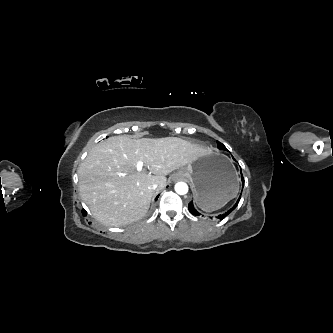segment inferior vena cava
Instances as JSON below:
<instances>
[{
	"instance_id": "obj_1",
	"label": "inferior vena cava",
	"mask_w": 333,
	"mask_h": 333,
	"mask_svg": "<svg viewBox=\"0 0 333 333\" xmlns=\"http://www.w3.org/2000/svg\"><path fill=\"white\" fill-rule=\"evenodd\" d=\"M157 187H158L157 183H153L149 188H150L151 190H156Z\"/></svg>"
}]
</instances>
